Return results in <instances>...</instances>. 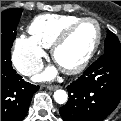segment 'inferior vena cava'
Returning a JSON list of instances; mask_svg holds the SVG:
<instances>
[{
  "label": "inferior vena cava",
  "instance_id": "obj_1",
  "mask_svg": "<svg viewBox=\"0 0 121 121\" xmlns=\"http://www.w3.org/2000/svg\"><path fill=\"white\" fill-rule=\"evenodd\" d=\"M42 68H43V64L39 63V64L21 66L18 68V71L25 76H29L34 73L40 72Z\"/></svg>",
  "mask_w": 121,
  "mask_h": 121
}]
</instances>
